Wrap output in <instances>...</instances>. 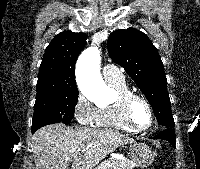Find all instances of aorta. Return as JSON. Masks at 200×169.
Listing matches in <instances>:
<instances>
[{"label":"aorta","mask_w":200,"mask_h":169,"mask_svg":"<svg viewBox=\"0 0 200 169\" xmlns=\"http://www.w3.org/2000/svg\"><path fill=\"white\" fill-rule=\"evenodd\" d=\"M100 61L99 48L92 46L81 53L76 65V79L81 92L96 103L109 92L100 74Z\"/></svg>","instance_id":"762f6f07"}]
</instances>
